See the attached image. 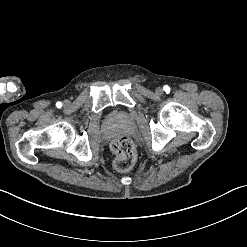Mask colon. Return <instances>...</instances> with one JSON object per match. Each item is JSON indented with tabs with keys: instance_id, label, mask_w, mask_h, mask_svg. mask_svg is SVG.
<instances>
[{
	"instance_id": "1",
	"label": "colon",
	"mask_w": 247,
	"mask_h": 247,
	"mask_svg": "<svg viewBox=\"0 0 247 247\" xmlns=\"http://www.w3.org/2000/svg\"><path fill=\"white\" fill-rule=\"evenodd\" d=\"M112 148L116 152L114 169L121 173L129 171L137 159L132 142L127 137H121L113 142Z\"/></svg>"
}]
</instances>
